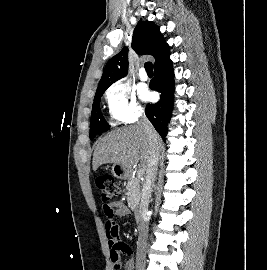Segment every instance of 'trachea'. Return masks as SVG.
Here are the masks:
<instances>
[{"label":"trachea","instance_id":"obj_1","mask_svg":"<svg viewBox=\"0 0 267 270\" xmlns=\"http://www.w3.org/2000/svg\"><path fill=\"white\" fill-rule=\"evenodd\" d=\"M145 70L146 72L149 74V73H153V65L151 62H146L145 65Z\"/></svg>","mask_w":267,"mask_h":270}]
</instances>
